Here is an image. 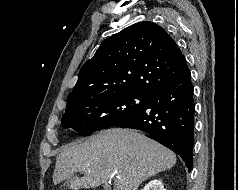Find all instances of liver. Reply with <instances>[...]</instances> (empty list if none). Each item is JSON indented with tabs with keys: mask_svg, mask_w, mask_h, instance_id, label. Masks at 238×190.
I'll list each match as a JSON object with an SVG mask.
<instances>
[{
	"mask_svg": "<svg viewBox=\"0 0 238 190\" xmlns=\"http://www.w3.org/2000/svg\"><path fill=\"white\" fill-rule=\"evenodd\" d=\"M175 164L176 155L153 139L131 129H108L65 146L56 158L53 182L66 181L73 190L96 188L117 170L114 190H137Z\"/></svg>",
	"mask_w": 238,
	"mask_h": 190,
	"instance_id": "liver-1",
	"label": "liver"
}]
</instances>
